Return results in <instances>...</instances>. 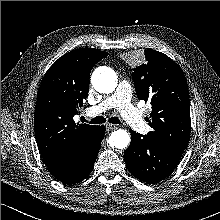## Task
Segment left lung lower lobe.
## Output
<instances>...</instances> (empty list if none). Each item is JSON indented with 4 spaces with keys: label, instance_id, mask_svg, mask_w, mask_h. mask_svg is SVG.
<instances>
[{
    "label": "left lung lower lobe",
    "instance_id": "obj_1",
    "mask_svg": "<svg viewBox=\"0 0 220 220\" xmlns=\"http://www.w3.org/2000/svg\"><path fill=\"white\" fill-rule=\"evenodd\" d=\"M132 141L124 157L129 172L151 184L168 177L177 166L184 150L167 145L151 135L130 130Z\"/></svg>",
    "mask_w": 220,
    "mask_h": 220
}]
</instances>
